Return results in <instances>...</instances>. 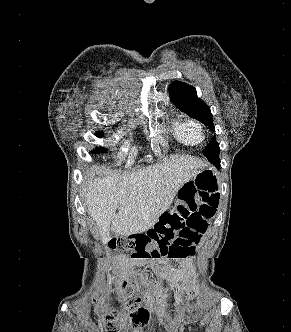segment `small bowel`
<instances>
[{
  "mask_svg": "<svg viewBox=\"0 0 291 332\" xmlns=\"http://www.w3.org/2000/svg\"><path fill=\"white\" fill-rule=\"evenodd\" d=\"M192 188H195L194 184L191 182H188L181 188L180 192L186 191V190H189ZM121 261L123 263H125L127 266H131L133 264H138V265L142 264L141 260L132 262L124 256L121 257ZM153 267L163 275H172V273H173L172 269L170 267H168V265L166 264V261H164V260L155 261L153 263ZM130 273L135 275L142 283L143 294H144V297L146 300L150 301L152 299H157L161 304L166 302V300L168 299L167 295H165L164 293L159 291L155 285L148 283L147 276L145 274L136 273L133 270H130Z\"/></svg>",
  "mask_w": 291,
  "mask_h": 332,
  "instance_id": "small-bowel-1",
  "label": "small bowel"
}]
</instances>
